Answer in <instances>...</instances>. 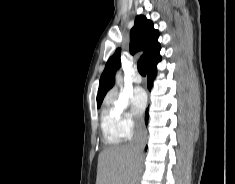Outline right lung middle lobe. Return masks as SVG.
<instances>
[{"instance_id":"dd1d6c3e","label":"right lung middle lobe","mask_w":235,"mask_h":184,"mask_svg":"<svg viewBox=\"0 0 235 184\" xmlns=\"http://www.w3.org/2000/svg\"><path fill=\"white\" fill-rule=\"evenodd\" d=\"M101 104H98L97 107L99 108Z\"/></svg>"}]
</instances>
